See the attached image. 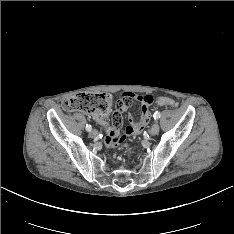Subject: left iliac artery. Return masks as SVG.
I'll use <instances>...</instances> for the list:
<instances>
[{
    "label": "left iliac artery",
    "instance_id": "obj_1",
    "mask_svg": "<svg viewBox=\"0 0 234 234\" xmlns=\"http://www.w3.org/2000/svg\"><path fill=\"white\" fill-rule=\"evenodd\" d=\"M160 118V112L159 111H156L155 113H154V119L155 120H158Z\"/></svg>",
    "mask_w": 234,
    "mask_h": 234
}]
</instances>
